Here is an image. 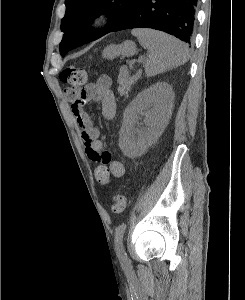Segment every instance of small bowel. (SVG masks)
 <instances>
[{
  "label": "small bowel",
  "instance_id": "1",
  "mask_svg": "<svg viewBox=\"0 0 245 300\" xmlns=\"http://www.w3.org/2000/svg\"><path fill=\"white\" fill-rule=\"evenodd\" d=\"M97 102L100 105L103 116L113 119L116 114L115 96L111 90V79L107 75L99 76L89 84L80 94L79 99L72 103L71 109L80 127L85 152L89 160L98 165L92 166L98 184H109L111 176L121 178L125 174V166L122 162L114 160L108 151L104 150V142L100 137V131L86 110L89 102Z\"/></svg>",
  "mask_w": 245,
  "mask_h": 300
}]
</instances>
